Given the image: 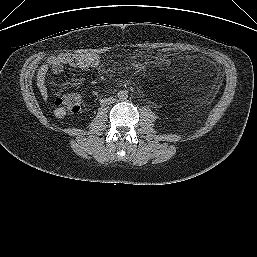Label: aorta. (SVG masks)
<instances>
[{"mask_svg": "<svg viewBox=\"0 0 257 257\" xmlns=\"http://www.w3.org/2000/svg\"><path fill=\"white\" fill-rule=\"evenodd\" d=\"M118 98L122 101L127 100L128 98V91L127 90H121L118 92Z\"/></svg>", "mask_w": 257, "mask_h": 257, "instance_id": "obj_1", "label": "aorta"}]
</instances>
